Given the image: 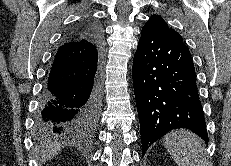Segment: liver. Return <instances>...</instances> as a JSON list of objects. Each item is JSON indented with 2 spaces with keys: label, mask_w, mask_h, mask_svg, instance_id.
Returning <instances> with one entry per match:
<instances>
[{
  "label": "liver",
  "mask_w": 231,
  "mask_h": 166,
  "mask_svg": "<svg viewBox=\"0 0 231 166\" xmlns=\"http://www.w3.org/2000/svg\"><path fill=\"white\" fill-rule=\"evenodd\" d=\"M63 145H61L58 142H44L41 146V161L45 162L50 159H52L54 156L58 154V152L61 150Z\"/></svg>",
  "instance_id": "liver-1"
}]
</instances>
